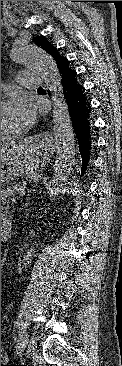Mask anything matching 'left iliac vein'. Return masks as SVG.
<instances>
[{
  "label": "left iliac vein",
  "instance_id": "4c4485c4",
  "mask_svg": "<svg viewBox=\"0 0 122 366\" xmlns=\"http://www.w3.org/2000/svg\"><path fill=\"white\" fill-rule=\"evenodd\" d=\"M27 343H28L27 352H28L29 356L35 355L36 354V347H37L35 341L34 340H29V342H27ZM21 345H22V342L20 341L19 345H18V348H17L20 351V353L24 348V347H21Z\"/></svg>",
  "mask_w": 122,
  "mask_h": 366
}]
</instances>
